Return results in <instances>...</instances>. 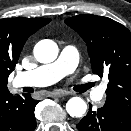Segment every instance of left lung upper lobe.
Instances as JSON below:
<instances>
[{
	"instance_id": "obj_1",
	"label": "left lung upper lobe",
	"mask_w": 131,
	"mask_h": 131,
	"mask_svg": "<svg viewBox=\"0 0 131 131\" xmlns=\"http://www.w3.org/2000/svg\"><path fill=\"white\" fill-rule=\"evenodd\" d=\"M65 23L86 42L93 73L108 76L106 102L131 113V32L110 18L90 14Z\"/></svg>"
}]
</instances>
